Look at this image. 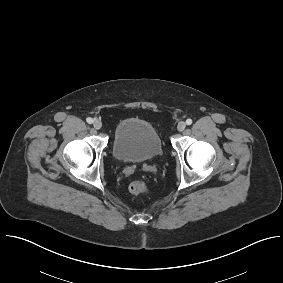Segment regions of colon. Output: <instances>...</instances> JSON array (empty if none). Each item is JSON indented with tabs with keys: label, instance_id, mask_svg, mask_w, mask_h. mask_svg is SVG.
<instances>
[{
	"label": "colon",
	"instance_id": "colon-1",
	"mask_svg": "<svg viewBox=\"0 0 283 283\" xmlns=\"http://www.w3.org/2000/svg\"><path fill=\"white\" fill-rule=\"evenodd\" d=\"M129 190L135 195H148L149 188L147 184L142 180H134L129 185Z\"/></svg>",
	"mask_w": 283,
	"mask_h": 283
}]
</instances>
